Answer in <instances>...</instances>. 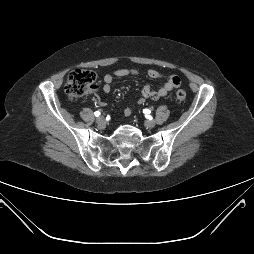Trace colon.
<instances>
[{
    "instance_id": "colon-1",
    "label": "colon",
    "mask_w": 254,
    "mask_h": 254,
    "mask_svg": "<svg viewBox=\"0 0 254 254\" xmlns=\"http://www.w3.org/2000/svg\"><path fill=\"white\" fill-rule=\"evenodd\" d=\"M97 87L96 75L90 70H75L71 72L65 84V92L71 101H76L81 96ZM176 99L183 102L186 99V92L177 90Z\"/></svg>"
}]
</instances>
